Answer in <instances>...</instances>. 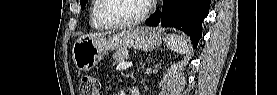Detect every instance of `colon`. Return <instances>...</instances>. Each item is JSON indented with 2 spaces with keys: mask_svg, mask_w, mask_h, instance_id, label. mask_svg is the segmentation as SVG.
Instances as JSON below:
<instances>
[{
  "mask_svg": "<svg viewBox=\"0 0 277 95\" xmlns=\"http://www.w3.org/2000/svg\"><path fill=\"white\" fill-rule=\"evenodd\" d=\"M99 81L91 76H83L80 80V94L99 95Z\"/></svg>",
  "mask_w": 277,
  "mask_h": 95,
  "instance_id": "5ec220e1",
  "label": "colon"
}]
</instances>
